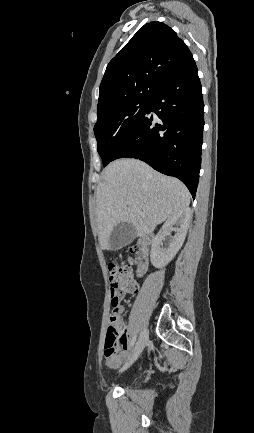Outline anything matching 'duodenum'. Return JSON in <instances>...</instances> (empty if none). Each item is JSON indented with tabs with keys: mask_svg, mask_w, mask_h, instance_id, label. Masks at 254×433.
Here are the masks:
<instances>
[{
	"mask_svg": "<svg viewBox=\"0 0 254 433\" xmlns=\"http://www.w3.org/2000/svg\"><path fill=\"white\" fill-rule=\"evenodd\" d=\"M153 240H154L153 234H147L140 240L139 246L144 254H146L147 249L151 245ZM145 269H146V261L143 260L138 266L137 273L139 275H142L145 272Z\"/></svg>",
	"mask_w": 254,
	"mask_h": 433,
	"instance_id": "duodenum-1",
	"label": "duodenum"
}]
</instances>
